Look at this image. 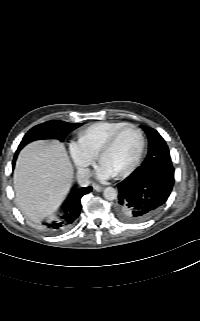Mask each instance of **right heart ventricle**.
Returning <instances> with one entry per match:
<instances>
[{
	"label": "right heart ventricle",
	"mask_w": 200,
	"mask_h": 321,
	"mask_svg": "<svg viewBox=\"0 0 200 321\" xmlns=\"http://www.w3.org/2000/svg\"><path fill=\"white\" fill-rule=\"evenodd\" d=\"M127 124L123 121H101L90 124L78 133V141L96 156L107 139Z\"/></svg>",
	"instance_id": "obj_1"
}]
</instances>
